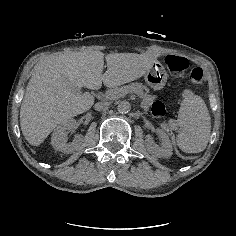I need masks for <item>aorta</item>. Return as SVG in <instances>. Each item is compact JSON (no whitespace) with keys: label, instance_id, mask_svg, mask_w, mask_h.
I'll return each mask as SVG.
<instances>
[{"label":"aorta","instance_id":"1","mask_svg":"<svg viewBox=\"0 0 236 236\" xmlns=\"http://www.w3.org/2000/svg\"><path fill=\"white\" fill-rule=\"evenodd\" d=\"M117 110L121 114H126L131 110V104L128 101H121L118 103Z\"/></svg>","mask_w":236,"mask_h":236}]
</instances>
